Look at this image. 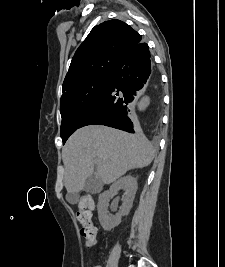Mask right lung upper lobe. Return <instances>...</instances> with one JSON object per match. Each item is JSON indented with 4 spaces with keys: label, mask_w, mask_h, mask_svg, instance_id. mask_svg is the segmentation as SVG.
Segmentation results:
<instances>
[{
    "label": "right lung upper lobe",
    "mask_w": 225,
    "mask_h": 267,
    "mask_svg": "<svg viewBox=\"0 0 225 267\" xmlns=\"http://www.w3.org/2000/svg\"><path fill=\"white\" fill-rule=\"evenodd\" d=\"M141 39L140 34L120 20L96 25L75 52L62 91L87 79L112 74L124 52Z\"/></svg>",
    "instance_id": "right-lung-upper-lobe-1"
}]
</instances>
